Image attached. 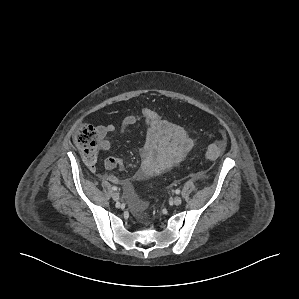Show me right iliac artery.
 I'll return each instance as SVG.
<instances>
[{"mask_svg":"<svg viewBox=\"0 0 299 299\" xmlns=\"http://www.w3.org/2000/svg\"><path fill=\"white\" fill-rule=\"evenodd\" d=\"M118 188L116 186H112V190L116 191Z\"/></svg>","mask_w":299,"mask_h":299,"instance_id":"1","label":"right iliac artery"}]
</instances>
